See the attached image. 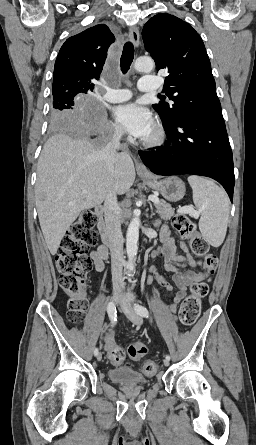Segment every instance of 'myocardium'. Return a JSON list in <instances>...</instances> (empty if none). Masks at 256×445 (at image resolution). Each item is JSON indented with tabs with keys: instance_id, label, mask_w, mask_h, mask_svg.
I'll return each mask as SVG.
<instances>
[{
	"instance_id": "1",
	"label": "myocardium",
	"mask_w": 256,
	"mask_h": 445,
	"mask_svg": "<svg viewBox=\"0 0 256 445\" xmlns=\"http://www.w3.org/2000/svg\"><path fill=\"white\" fill-rule=\"evenodd\" d=\"M165 140V131L160 124H157L152 134L142 141L143 145L148 148L158 147L163 144Z\"/></svg>"
}]
</instances>
